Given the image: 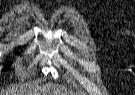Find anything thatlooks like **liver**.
Masks as SVG:
<instances>
[{
  "instance_id": "1",
  "label": "liver",
  "mask_w": 135,
  "mask_h": 95,
  "mask_svg": "<svg viewBox=\"0 0 135 95\" xmlns=\"http://www.w3.org/2000/svg\"><path fill=\"white\" fill-rule=\"evenodd\" d=\"M3 93V95H40L38 93H53L52 95H69V92L64 87L55 86L53 84H46L42 88H29V90H27V87H24L22 89L19 88L17 85H14L7 88V90L3 91Z\"/></svg>"
}]
</instances>
